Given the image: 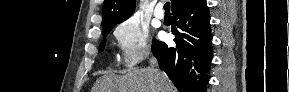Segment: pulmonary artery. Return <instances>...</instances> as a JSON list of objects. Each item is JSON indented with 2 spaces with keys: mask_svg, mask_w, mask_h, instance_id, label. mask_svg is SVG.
I'll list each match as a JSON object with an SVG mask.
<instances>
[{
  "mask_svg": "<svg viewBox=\"0 0 289 92\" xmlns=\"http://www.w3.org/2000/svg\"><path fill=\"white\" fill-rule=\"evenodd\" d=\"M154 16L157 18V19H160L162 20L164 18V13L162 11V7H161V4H158L157 7L155 8L154 10Z\"/></svg>",
  "mask_w": 289,
  "mask_h": 92,
  "instance_id": "obj_1",
  "label": "pulmonary artery"
}]
</instances>
